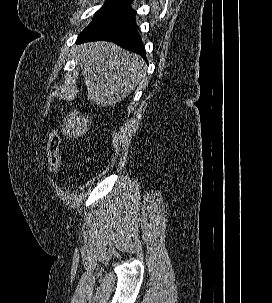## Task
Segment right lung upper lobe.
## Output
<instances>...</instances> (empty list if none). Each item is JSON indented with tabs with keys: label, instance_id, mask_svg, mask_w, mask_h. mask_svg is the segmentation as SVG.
I'll list each match as a JSON object with an SVG mask.
<instances>
[{
	"label": "right lung upper lobe",
	"instance_id": "obj_1",
	"mask_svg": "<svg viewBox=\"0 0 272 303\" xmlns=\"http://www.w3.org/2000/svg\"><path fill=\"white\" fill-rule=\"evenodd\" d=\"M110 1H118V2H125V3H131L132 0H110Z\"/></svg>",
	"mask_w": 272,
	"mask_h": 303
}]
</instances>
